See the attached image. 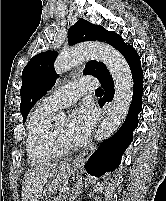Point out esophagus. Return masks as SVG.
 Returning a JSON list of instances; mask_svg holds the SVG:
<instances>
[{
	"instance_id": "esophagus-1",
	"label": "esophagus",
	"mask_w": 166,
	"mask_h": 201,
	"mask_svg": "<svg viewBox=\"0 0 166 201\" xmlns=\"http://www.w3.org/2000/svg\"><path fill=\"white\" fill-rule=\"evenodd\" d=\"M110 107L109 103H106L103 107H102V116H105L106 113L108 112ZM96 146L92 143L89 148H87V150L78 158L74 161L75 165H80L83 164L85 161H87L89 159V157L93 154V152L95 151Z\"/></svg>"
}]
</instances>
